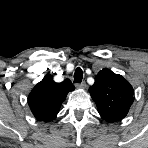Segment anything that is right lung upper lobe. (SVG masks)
<instances>
[{
  "instance_id": "1",
  "label": "right lung upper lobe",
  "mask_w": 148,
  "mask_h": 148,
  "mask_svg": "<svg viewBox=\"0 0 148 148\" xmlns=\"http://www.w3.org/2000/svg\"><path fill=\"white\" fill-rule=\"evenodd\" d=\"M74 89L69 79L56 83L53 81V76L47 74L28 97V104L35 118L44 122L54 120L68 92Z\"/></svg>"
}]
</instances>
